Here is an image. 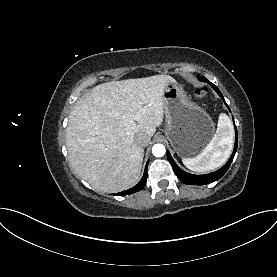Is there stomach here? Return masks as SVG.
I'll use <instances>...</instances> for the list:
<instances>
[{"label": "stomach", "instance_id": "0dacf381", "mask_svg": "<svg viewBox=\"0 0 277 277\" xmlns=\"http://www.w3.org/2000/svg\"><path fill=\"white\" fill-rule=\"evenodd\" d=\"M165 135L181 158L200 154L215 134L209 114L192 102L178 83H169L163 95Z\"/></svg>", "mask_w": 277, "mask_h": 277}]
</instances>
